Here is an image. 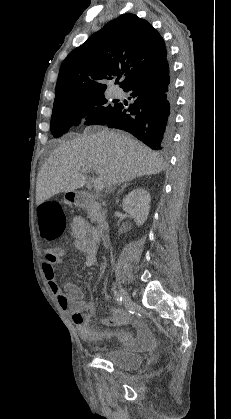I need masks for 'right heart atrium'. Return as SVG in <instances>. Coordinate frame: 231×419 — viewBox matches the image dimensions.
<instances>
[{
	"instance_id": "obj_1",
	"label": "right heart atrium",
	"mask_w": 231,
	"mask_h": 419,
	"mask_svg": "<svg viewBox=\"0 0 231 419\" xmlns=\"http://www.w3.org/2000/svg\"><path fill=\"white\" fill-rule=\"evenodd\" d=\"M87 115H88V113L87 112H84L83 113V117L85 118V117H87Z\"/></svg>"
}]
</instances>
